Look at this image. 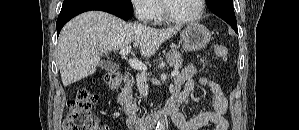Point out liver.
<instances>
[{
	"mask_svg": "<svg viewBox=\"0 0 299 130\" xmlns=\"http://www.w3.org/2000/svg\"><path fill=\"white\" fill-rule=\"evenodd\" d=\"M179 26L155 29L139 23L127 24L102 11H88L70 20L62 29L57 46L61 79L66 87L96 71L100 55L133 43L143 58L179 31Z\"/></svg>",
	"mask_w": 299,
	"mask_h": 130,
	"instance_id": "1",
	"label": "liver"
}]
</instances>
